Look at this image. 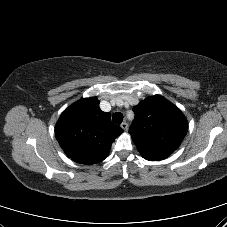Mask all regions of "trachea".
Wrapping results in <instances>:
<instances>
[{"label":"trachea","instance_id":"1","mask_svg":"<svg viewBox=\"0 0 227 227\" xmlns=\"http://www.w3.org/2000/svg\"><path fill=\"white\" fill-rule=\"evenodd\" d=\"M112 120L115 124H120L123 121V114L120 112H116L112 116Z\"/></svg>","mask_w":227,"mask_h":227}]
</instances>
